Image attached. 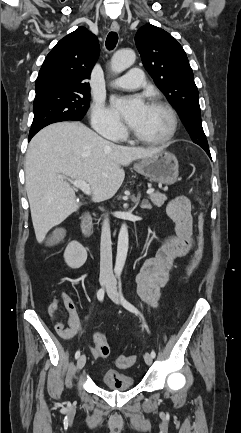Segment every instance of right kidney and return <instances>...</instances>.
<instances>
[{"label":"right kidney","instance_id":"1","mask_svg":"<svg viewBox=\"0 0 241 433\" xmlns=\"http://www.w3.org/2000/svg\"><path fill=\"white\" fill-rule=\"evenodd\" d=\"M64 260L68 267L78 269L87 260V251L78 241L70 242L64 252Z\"/></svg>","mask_w":241,"mask_h":433}]
</instances>
